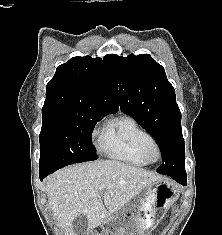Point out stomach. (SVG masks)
<instances>
[{"label": "stomach", "instance_id": "stomach-1", "mask_svg": "<svg viewBox=\"0 0 222 235\" xmlns=\"http://www.w3.org/2000/svg\"><path fill=\"white\" fill-rule=\"evenodd\" d=\"M178 196L169 181L151 184L105 220L101 225L103 235H149Z\"/></svg>", "mask_w": 222, "mask_h": 235}]
</instances>
